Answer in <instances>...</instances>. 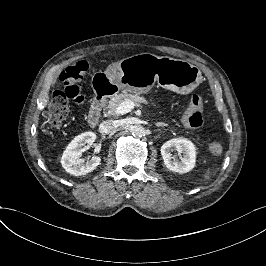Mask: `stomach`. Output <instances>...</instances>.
<instances>
[{
    "label": "stomach",
    "mask_w": 266,
    "mask_h": 266,
    "mask_svg": "<svg viewBox=\"0 0 266 266\" xmlns=\"http://www.w3.org/2000/svg\"><path fill=\"white\" fill-rule=\"evenodd\" d=\"M160 66L156 73L143 74L137 71L132 78L124 76L119 70V75L107 73L105 76L115 90L112 93L104 94L102 97L110 96L117 98L118 91L124 89L126 92L135 94L147 93L155 84L158 83L164 89L171 90L178 94H187L197 87L202 81L200 69L184 60L174 59L171 57L158 58Z\"/></svg>",
    "instance_id": "obj_1"
}]
</instances>
